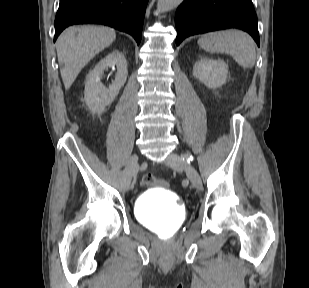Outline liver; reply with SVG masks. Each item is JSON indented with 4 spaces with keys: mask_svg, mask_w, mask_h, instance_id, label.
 <instances>
[{
    "mask_svg": "<svg viewBox=\"0 0 309 288\" xmlns=\"http://www.w3.org/2000/svg\"><path fill=\"white\" fill-rule=\"evenodd\" d=\"M116 38L114 29L102 26H71L56 42L64 87L68 90L80 71Z\"/></svg>",
    "mask_w": 309,
    "mask_h": 288,
    "instance_id": "1",
    "label": "liver"
}]
</instances>
